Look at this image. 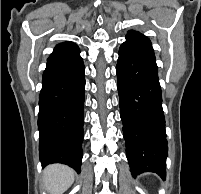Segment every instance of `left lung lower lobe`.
<instances>
[{
  "mask_svg": "<svg viewBox=\"0 0 201 194\" xmlns=\"http://www.w3.org/2000/svg\"><path fill=\"white\" fill-rule=\"evenodd\" d=\"M120 116L132 174L166 177L168 152L158 67L153 49L126 40L116 67Z\"/></svg>",
  "mask_w": 201,
  "mask_h": 194,
  "instance_id": "1",
  "label": "left lung lower lobe"
}]
</instances>
